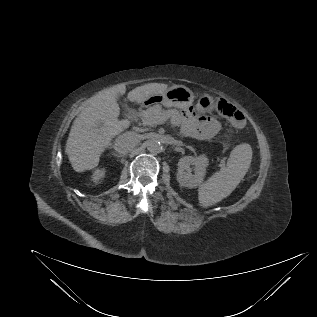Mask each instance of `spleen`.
Masks as SVG:
<instances>
[{"instance_id":"1","label":"spleen","mask_w":317,"mask_h":317,"mask_svg":"<svg viewBox=\"0 0 317 317\" xmlns=\"http://www.w3.org/2000/svg\"><path fill=\"white\" fill-rule=\"evenodd\" d=\"M251 159L252 148L249 144L236 146L230 154L226 167L199 186V203L204 207L212 206L230 195L247 173Z\"/></svg>"}]
</instances>
